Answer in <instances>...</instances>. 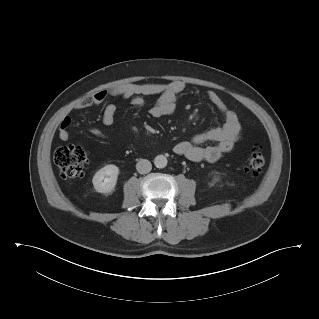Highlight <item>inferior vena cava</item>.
<instances>
[{
    "instance_id": "obj_1",
    "label": "inferior vena cava",
    "mask_w": 319,
    "mask_h": 319,
    "mask_svg": "<svg viewBox=\"0 0 319 319\" xmlns=\"http://www.w3.org/2000/svg\"><path fill=\"white\" fill-rule=\"evenodd\" d=\"M136 169L140 174H147L152 169V164L147 159H140L136 164Z\"/></svg>"
}]
</instances>
